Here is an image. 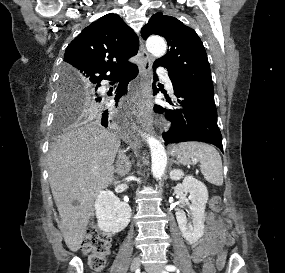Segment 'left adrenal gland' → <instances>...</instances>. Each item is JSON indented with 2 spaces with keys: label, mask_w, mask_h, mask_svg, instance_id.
I'll use <instances>...</instances> for the list:
<instances>
[{
  "label": "left adrenal gland",
  "mask_w": 285,
  "mask_h": 273,
  "mask_svg": "<svg viewBox=\"0 0 285 273\" xmlns=\"http://www.w3.org/2000/svg\"><path fill=\"white\" fill-rule=\"evenodd\" d=\"M171 162L173 163H176V164H178V162L177 161H175L174 159H171Z\"/></svg>",
  "instance_id": "a2214340"
}]
</instances>
